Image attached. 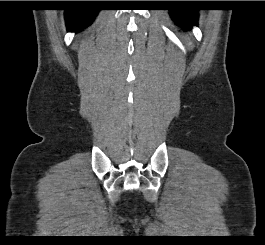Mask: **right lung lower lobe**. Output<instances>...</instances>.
Instances as JSON below:
<instances>
[{
  "instance_id": "right-lung-lower-lobe-1",
  "label": "right lung lower lobe",
  "mask_w": 265,
  "mask_h": 245,
  "mask_svg": "<svg viewBox=\"0 0 265 245\" xmlns=\"http://www.w3.org/2000/svg\"><path fill=\"white\" fill-rule=\"evenodd\" d=\"M98 10L90 7L65 10L68 31H80L88 26L97 15Z\"/></svg>"
}]
</instances>
